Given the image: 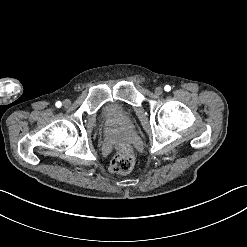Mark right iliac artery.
Returning a JSON list of instances; mask_svg holds the SVG:
<instances>
[{"instance_id": "obj_1", "label": "right iliac artery", "mask_w": 247, "mask_h": 247, "mask_svg": "<svg viewBox=\"0 0 247 247\" xmlns=\"http://www.w3.org/2000/svg\"><path fill=\"white\" fill-rule=\"evenodd\" d=\"M56 107L60 108L62 106V103L60 101L56 102Z\"/></svg>"}]
</instances>
